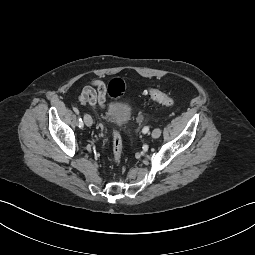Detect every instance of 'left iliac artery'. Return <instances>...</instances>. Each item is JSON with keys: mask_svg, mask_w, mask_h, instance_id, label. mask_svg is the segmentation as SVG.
Masks as SVG:
<instances>
[{"mask_svg": "<svg viewBox=\"0 0 255 255\" xmlns=\"http://www.w3.org/2000/svg\"><path fill=\"white\" fill-rule=\"evenodd\" d=\"M149 130V127L148 126H144L143 129H142V132L143 133H147Z\"/></svg>", "mask_w": 255, "mask_h": 255, "instance_id": "obj_1", "label": "left iliac artery"}]
</instances>
